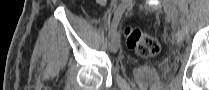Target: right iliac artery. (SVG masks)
Returning a JSON list of instances; mask_svg holds the SVG:
<instances>
[{"label": "right iliac artery", "mask_w": 209, "mask_h": 90, "mask_svg": "<svg viewBox=\"0 0 209 90\" xmlns=\"http://www.w3.org/2000/svg\"><path fill=\"white\" fill-rule=\"evenodd\" d=\"M132 1L131 0H125L123 1V3L118 7V9L116 10L115 12V15H114V18H113V21H112V24H111V28H110V31H109V36L110 37H113V35L115 34L116 32V29H117V26L119 24V21L123 15V13L125 12V10L127 9V7L129 5H131Z\"/></svg>", "instance_id": "1"}]
</instances>
